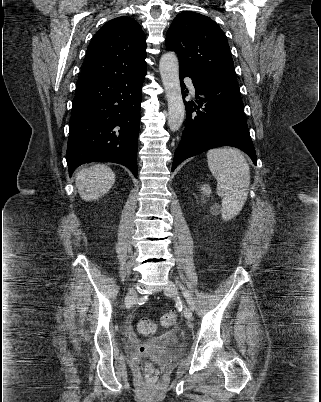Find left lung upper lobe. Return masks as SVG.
Wrapping results in <instances>:
<instances>
[{"mask_svg":"<svg viewBox=\"0 0 321 402\" xmlns=\"http://www.w3.org/2000/svg\"><path fill=\"white\" fill-rule=\"evenodd\" d=\"M166 47L178 55L181 71L237 80L226 36L209 17L190 11L178 14L167 32Z\"/></svg>","mask_w":321,"mask_h":402,"instance_id":"left-lung-upper-lobe-1","label":"left lung upper lobe"}]
</instances>
